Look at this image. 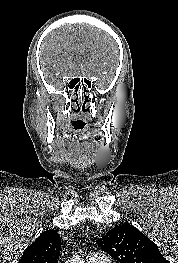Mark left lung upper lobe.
Here are the masks:
<instances>
[{
  "label": "left lung upper lobe",
  "instance_id": "left-lung-upper-lobe-1",
  "mask_svg": "<svg viewBox=\"0 0 178 263\" xmlns=\"http://www.w3.org/2000/svg\"><path fill=\"white\" fill-rule=\"evenodd\" d=\"M97 244L119 263H169L153 241L127 223L110 230Z\"/></svg>",
  "mask_w": 178,
  "mask_h": 263
}]
</instances>
